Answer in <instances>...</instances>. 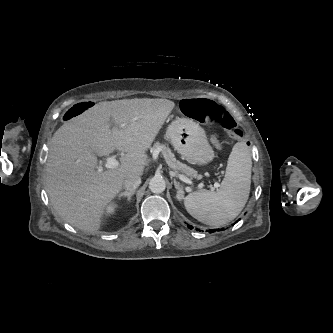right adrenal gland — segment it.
I'll return each mask as SVG.
<instances>
[{
    "mask_svg": "<svg viewBox=\"0 0 333 333\" xmlns=\"http://www.w3.org/2000/svg\"><path fill=\"white\" fill-rule=\"evenodd\" d=\"M134 192L135 191H125V192H121L119 195H118V197H119V199L121 198V197H127V199H128V201H130L131 200V198H132V196H133V194H134Z\"/></svg>",
    "mask_w": 333,
    "mask_h": 333,
    "instance_id": "2a0ac1e0",
    "label": "right adrenal gland"
}]
</instances>
